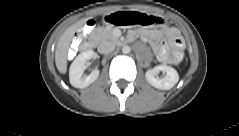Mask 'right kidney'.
<instances>
[{"label": "right kidney", "mask_w": 239, "mask_h": 136, "mask_svg": "<svg viewBox=\"0 0 239 136\" xmlns=\"http://www.w3.org/2000/svg\"><path fill=\"white\" fill-rule=\"evenodd\" d=\"M94 57V51L88 50L81 52L72 62L69 69L70 84L75 88H85L92 84L99 76V70L94 69L90 75H83L85 70V63Z\"/></svg>", "instance_id": "obj_1"}]
</instances>
